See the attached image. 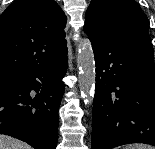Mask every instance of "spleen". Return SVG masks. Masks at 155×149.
<instances>
[{"mask_svg": "<svg viewBox=\"0 0 155 149\" xmlns=\"http://www.w3.org/2000/svg\"><path fill=\"white\" fill-rule=\"evenodd\" d=\"M124 149H155V147L146 144H130L125 146Z\"/></svg>", "mask_w": 155, "mask_h": 149, "instance_id": "3e777b00", "label": "spleen"}]
</instances>
